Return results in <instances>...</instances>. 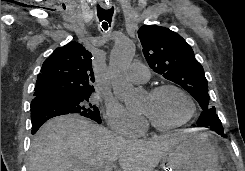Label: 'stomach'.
<instances>
[{"label":"stomach","mask_w":245,"mask_h":171,"mask_svg":"<svg viewBox=\"0 0 245 171\" xmlns=\"http://www.w3.org/2000/svg\"><path fill=\"white\" fill-rule=\"evenodd\" d=\"M220 150L210 132L186 134L167 151L162 166L165 171H219Z\"/></svg>","instance_id":"stomach-1"}]
</instances>
